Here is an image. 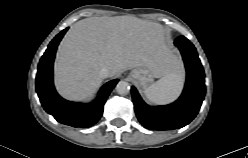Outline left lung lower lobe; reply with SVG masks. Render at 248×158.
<instances>
[{
    "instance_id": "0a47b994",
    "label": "left lung lower lobe",
    "mask_w": 248,
    "mask_h": 158,
    "mask_svg": "<svg viewBox=\"0 0 248 158\" xmlns=\"http://www.w3.org/2000/svg\"><path fill=\"white\" fill-rule=\"evenodd\" d=\"M174 44L180 49L186 67V84L180 98L169 105L151 107L131 88L136 116L150 130H173L190 123L197 115L205 96L204 70L193 44L184 36Z\"/></svg>"
}]
</instances>
